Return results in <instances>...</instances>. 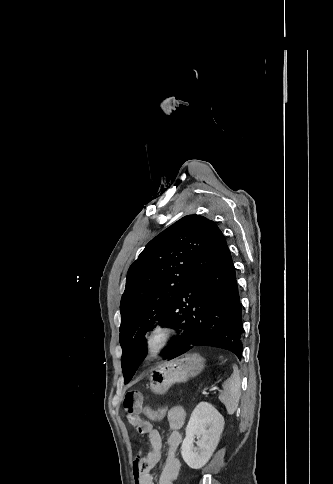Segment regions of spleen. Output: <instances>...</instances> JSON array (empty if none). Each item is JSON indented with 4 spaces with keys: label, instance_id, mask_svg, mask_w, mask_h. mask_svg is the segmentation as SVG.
<instances>
[{
    "label": "spleen",
    "instance_id": "spleen-1",
    "mask_svg": "<svg viewBox=\"0 0 333 484\" xmlns=\"http://www.w3.org/2000/svg\"><path fill=\"white\" fill-rule=\"evenodd\" d=\"M223 391L219 394V400L226 407L227 413L233 415L238 407L240 398V376L237 366L234 367L233 374L223 383Z\"/></svg>",
    "mask_w": 333,
    "mask_h": 484
}]
</instances>
